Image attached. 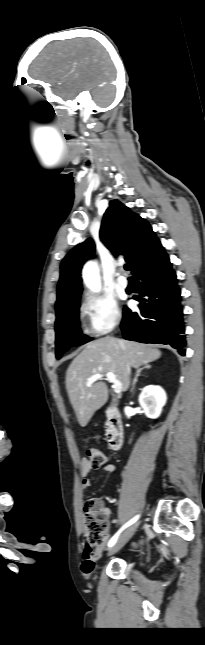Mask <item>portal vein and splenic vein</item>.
I'll return each mask as SVG.
<instances>
[{"label": "portal vein and splenic vein", "instance_id": "1", "mask_svg": "<svg viewBox=\"0 0 205 645\" xmlns=\"http://www.w3.org/2000/svg\"><path fill=\"white\" fill-rule=\"evenodd\" d=\"M104 376H105V377H106V378H107L111 383H113V389H114V392H115L116 394L121 393V391H122V384H121V382H120L119 380H117V378H116L115 374H114V373H111V372H108V373H106V374L97 373V374L92 375V376L87 380L86 385H87L88 387H91V386H92V384H93L94 382H96L97 380H99L100 378H102V377H104Z\"/></svg>", "mask_w": 205, "mask_h": 645}]
</instances>
